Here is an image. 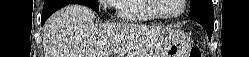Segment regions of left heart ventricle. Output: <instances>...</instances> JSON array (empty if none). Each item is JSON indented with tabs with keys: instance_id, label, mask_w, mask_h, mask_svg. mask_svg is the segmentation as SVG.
Here are the masks:
<instances>
[{
	"instance_id": "1",
	"label": "left heart ventricle",
	"mask_w": 249,
	"mask_h": 57,
	"mask_svg": "<svg viewBox=\"0 0 249 57\" xmlns=\"http://www.w3.org/2000/svg\"><path fill=\"white\" fill-rule=\"evenodd\" d=\"M181 8L180 0H158L157 11L162 14H174Z\"/></svg>"
}]
</instances>
